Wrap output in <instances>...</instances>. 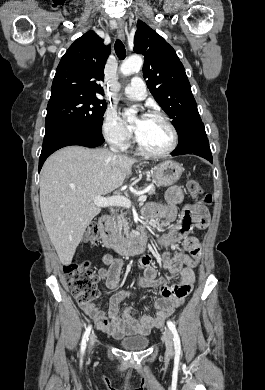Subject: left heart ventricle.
Instances as JSON below:
<instances>
[{"label":"left heart ventricle","mask_w":265,"mask_h":390,"mask_svg":"<svg viewBox=\"0 0 265 390\" xmlns=\"http://www.w3.org/2000/svg\"><path fill=\"white\" fill-rule=\"evenodd\" d=\"M136 134L141 143L149 150L160 152L171 143V133L167 126L158 118L144 116L135 121Z\"/></svg>","instance_id":"obj_1"}]
</instances>
